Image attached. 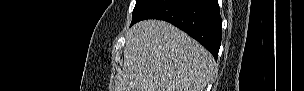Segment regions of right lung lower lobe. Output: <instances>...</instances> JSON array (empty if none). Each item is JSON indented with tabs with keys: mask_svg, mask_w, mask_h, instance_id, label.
Wrapping results in <instances>:
<instances>
[{
	"mask_svg": "<svg viewBox=\"0 0 304 91\" xmlns=\"http://www.w3.org/2000/svg\"><path fill=\"white\" fill-rule=\"evenodd\" d=\"M159 19L170 22L200 42L215 59L222 38L217 0H151L132 21Z\"/></svg>",
	"mask_w": 304,
	"mask_h": 91,
	"instance_id": "obj_1",
	"label": "right lung lower lobe"
}]
</instances>
